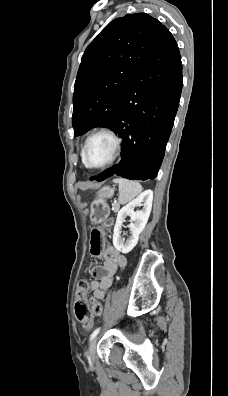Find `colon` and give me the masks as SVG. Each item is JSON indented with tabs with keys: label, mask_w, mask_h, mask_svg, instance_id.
<instances>
[{
	"label": "colon",
	"mask_w": 228,
	"mask_h": 396,
	"mask_svg": "<svg viewBox=\"0 0 228 396\" xmlns=\"http://www.w3.org/2000/svg\"><path fill=\"white\" fill-rule=\"evenodd\" d=\"M110 224L105 221L102 225L93 228L90 240V253L94 257H100L104 243V228ZM89 282L87 279H81L77 284L76 297L74 303V313L77 321L85 329L92 327V318L101 314V305L93 299H88Z\"/></svg>",
	"instance_id": "1"
}]
</instances>
